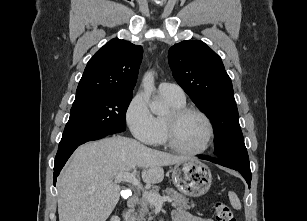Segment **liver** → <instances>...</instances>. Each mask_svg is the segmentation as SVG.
I'll return each mask as SVG.
<instances>
[{
	"label": "liver",
	"instance_id": "obj_1",
	"mask_svg": "<svg viewBox=\"0 0 307 221\" xmlns=\"http://www.w3.org/2000/svg\"><path fill=\"white\" fill-rule=\"evenodd\" d=\"M186 160L122 136L83 144L58 177L59 221H106L120 197L116 175L139 167L146 184L159 183L163 166Z\"/></svg>",
	"mask_w": 307,
	"mask_h": 221
}]
</instances>
